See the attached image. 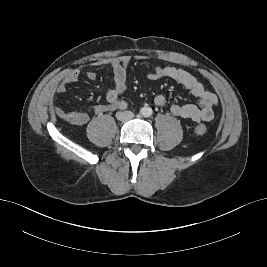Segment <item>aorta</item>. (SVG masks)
Wrapping results in <instances>:
<instances>
[{
	"instance_id": "obj_1",
	"label": "aorta",
	"mask_w": 267,
	"mask_h": 267,
	"mask_svg": "<svg viewBox=\"0 0 267 267\" xmlns=\"http://www.w3.org/2000/svg\"><path fill=\"white\" fill-rule=\"evenodd\" d=\"M140 112H141V114L144 117H149V116L152 115V108H150V107H143V108H141Z\"/></svg>"
}]
</instances>
